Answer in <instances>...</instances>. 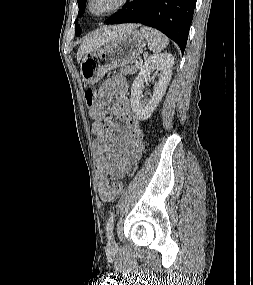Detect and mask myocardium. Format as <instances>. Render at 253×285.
<instances>
[{
    "label": "myocardium",
    "mask_w": 253,
    "mask_h": 285,
    "mask_svg": "<svg viewBox=\"0 0 253 285\" xmlns=\"http://www.w3.org/2000/svg\"><path fill=\"white\" fill-rule=\"evenodd\" d=\"M95 1L96 0H87L86 1V11L93 18H102L105 16L115 14V13L121 11L123 8H125L126 5L129 3V0H118L117 4L114 7L103 10V11L96 12L92 8Z\"/></svg>",
    "instance_id": "1"
}]
</instances>
